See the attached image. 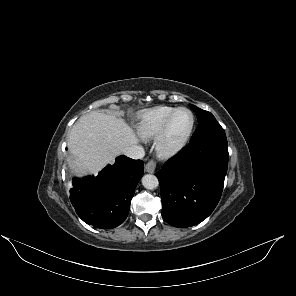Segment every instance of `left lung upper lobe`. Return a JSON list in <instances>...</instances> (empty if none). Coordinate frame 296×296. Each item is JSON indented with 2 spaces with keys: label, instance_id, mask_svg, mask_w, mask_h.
Returning a JSON list of instances; mask_svg holds the SVG:
<instances>
[{
  "label": "left lung upper lobe",
  "instance_id": "obj_1",
  "mask_svg": "<svg viewBox=\"0 0 296 296\" xmlns=\"http://www.w3.org/2000/svg\"><path fill=\"white\" fill-rule=\"evenodd\" d=\"M190 107L195 111L199 124L189 144L198 143L211 138L226 137L224 129L216 121L212 113L191 104Z\"/></svg>",
  "mask_w": 296,
  "mask_h": 296
}]
</instances>
